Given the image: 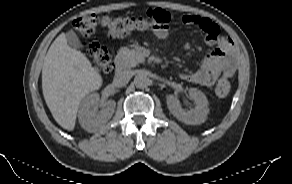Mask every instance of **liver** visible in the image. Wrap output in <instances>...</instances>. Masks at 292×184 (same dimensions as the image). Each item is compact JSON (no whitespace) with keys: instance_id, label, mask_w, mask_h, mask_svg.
<instances>
[{"instance_id":"liver-1","label":"liver","mask_w":292,"mask_h":184,"mask_svg":"<svg viewBox=\"0 0 292 184\" xmlns=\"http://www.w3.org/2000/svg\"><path fill=\"white\" fill-rule=\"evenodd\" d=\"M102 77L88 58L67 44L61 33L51 44L42 67V90L45 102L64 129L75 127L82 99L102 85Z\"/></svg>"}]
</instances>
